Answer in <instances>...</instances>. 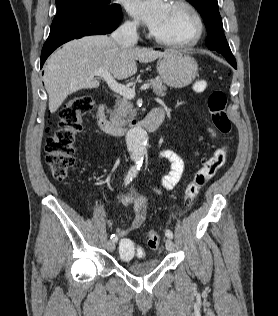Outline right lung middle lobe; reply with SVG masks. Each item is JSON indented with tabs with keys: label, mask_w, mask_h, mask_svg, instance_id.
I'll return each mask as SVG.
<instances>
[{
	"label": "right lung middle lobe",
	"mask_w": 278,
	"mask_h": 316,
	"mask_svg": "<svg viewBox=\"0 0 278 316\" xmlns=\"http://www.w3.org/2000/svg\"><path fill=\"white\" fill-rule=\"evenodd\" d=\"M57 14L52 24L94 14H111L120 6L111 0H56Z\"/></svg>",
	"instance_id": "obj_1"
}]
</instances>
